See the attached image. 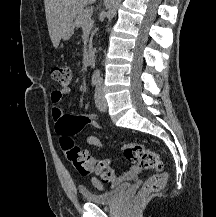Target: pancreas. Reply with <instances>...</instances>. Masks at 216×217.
<instances>
[{
	"label": "pancreas",
	"mask_w": 216,
	"mask_h": 217,
	"mask_svg": "<svg viewBox=\"0 0 216 217\" xmlns=\"http://www.w3.org/2000/svg\"><path fill=\"white\" fill-rule=\"evenodd\" d=\"M75 26L80 28H88V29H91L92 26H93V21L91 20L90 18V15H89V11L88 9H82L77 17H76V21H75ZM92 36H93V33L91 35V38H90V47L92 46Z\"/></svg>",
	"instance_id": "obj_1"
}]
</instances>
